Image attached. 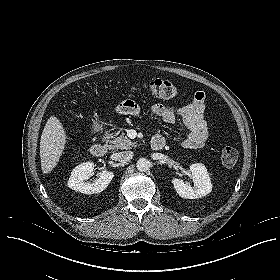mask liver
Instances as JSON below:
<instances>
[{"instance_id":"1","label":"liver","mask_w":280,"mask_h":280,"mask_svg":"<svg viewBox=\"0 0 280 280\" xmlns=\"http://www.w3.org/2000/svg\"><path fill=\"white\" fill-rule=\"evenodd\" d=\"M66 133L60 120L51 116L43 129L40 140L41 169L50 173L58 164L66 144Z\"/></svg>"}]
</instances>
